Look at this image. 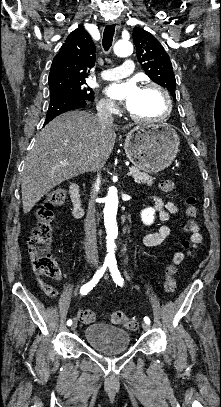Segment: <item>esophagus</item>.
<instances>
[{"label":"esophagus","instance_id":"esophagus-1","mask_svg":"<svg viewBox=\"0 0 221 407\" xmlns=\"http://www.w3.org/2000/svg\"><path fill=\"white\" fill-rule=\"evenodd\" d=\"M118 23H120V21H119V20H116V19L110 21V24H111V25H116V24H118Z\"/></svg>","mask_w":221,"mask_h":407}]
</instances>
